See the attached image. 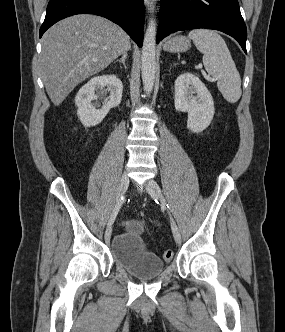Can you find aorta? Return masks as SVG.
I'll return each instance as SVG.
<instances>
[{"mask_svg": "<svg viewBox=\"0 0 285 332\" xmlns=\"http://www.w3.org/2000/svg\"><path fill=\"white\" fill-rule=\"evenodd\" d=\"M156 72V22L150 19L142 46L141 74L144 90L150 93L153 90Z\"/></svg>", "mask_w": 285, "mask_h": 332, "instance_id": "1", "label": "aorta"}]
</instances>
